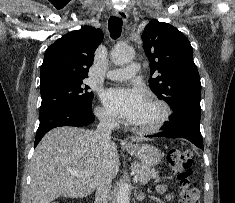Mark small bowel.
I'll use <instances>...</instances> for the list:
<instances>
[{
  "label": "small bowel",
  "mask_w": 235,
  "mask_h": 203,
  "mask_svg": "<svg viewBox=\"0 0 235 203\" xmlns=\"http://www.w3.org/2000/svg\"><path fill=\"white\" fill-rule=\"evenodd\" d=\"M157 190L160 192V193H165L166 192V186L165 185H160L158 186ZM174 198V195L173 194H166V199L167 201H172Z\"/></svg>",
  "instance_id": "c3829d8e"
}]
</instances>
